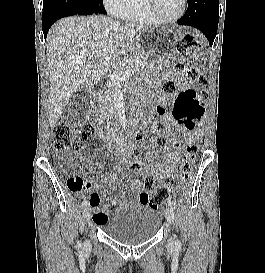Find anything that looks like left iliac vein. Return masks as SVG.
I'll return each mask as SVG.
<instances>
[{"label": "left iliac vein", "instance_id": "obj_1", "mask_svg": "<svg viewBox=\"0 0 265 273\" xmlns=\"http://www.w3.org/2000/svg\"><path fill=\"white\" fill-rule=\"evenodd\" d=\"M166 220L169 224H173L175 221V213L172 208H167L166 210ZM168 245L171 247L173 245L172 240L169 241Z\"/></svg>", "mask_w": 265, "mask_h": 273}]
</instances>
